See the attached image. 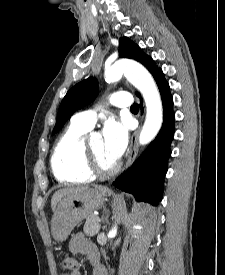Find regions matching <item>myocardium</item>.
Instances as JSON below:
<instances>
[{"mask_svg":"<svg viewBox=\"0 0 225 275\" xmlns=\"http://www.w3.org/2000/svg\"><path fill=\"white\" fill-rule=\"evenodd\" d=\"M84 165L87 171L93 176L107 177L115 174L119 170V163H115L109 168H104L98 162L95 154L90 150L88 144H83Z\"/></svg>","mask_w":225,"mask_h":275,"instance_id":"myocardium-1","label":"myocardium"}]
</instances>
